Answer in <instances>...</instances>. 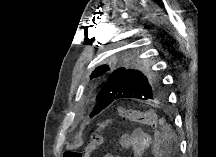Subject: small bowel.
Instances as JSON below:
<instances>
[{
	"mask_svg": "<svg viewBox=\"0 0 216 157\" xmlns=\"http://www.w3.org/2000/svg\"><path fill=\"white\" fill-rule=\"evenodd\" d=\"M120 149H129L134 157H140L151 146V135L142 130H135L131 133L123 134L119 141ZM112 157V154H107Z\"/></svg>",
	"mask_w": 216,
	"mask_h": 157,
	"instance_id": "obj_1",
	"label": "small bowel"
}]
</instances>
